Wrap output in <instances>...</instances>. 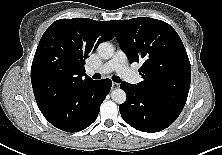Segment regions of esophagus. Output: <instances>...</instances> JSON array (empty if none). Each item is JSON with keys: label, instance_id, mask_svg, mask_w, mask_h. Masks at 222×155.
I'll return each mask as SVG.
<instances>
[{"label": "esophagus", "instance_id": "obj_1", "mask_svg": "<svg viewBox=\"0 0 222 155\" xmlns=\"http://www.w3.org/2000/svg\"><path fill=\"white\" fill-rule=\"evenodd\" d=\"M119 87V84L116 82H112V89H117Z\"/></svg>", "mask_w": 222, "mask_h": 155}]
</instances>
